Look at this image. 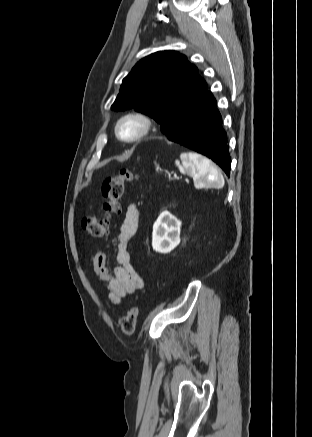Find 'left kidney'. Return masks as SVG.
<instances>
[{
	"mask_svg": "<svg viewBox=\"0 0 312 437\" xmlns=\"http://www.w3.org/2000/svg\"><path fill=\"white\" fill-rule=\"evenodd\" d=\"M181 222L170 212H162L153 225L152 247L156 252L169 253L180 243Z\"/></svg>",
	"mask_w": 312,
	"mask_h": 437,
	"instance_id": "1",
	"label": "left kidney"
}]
</instances>
